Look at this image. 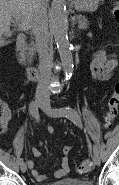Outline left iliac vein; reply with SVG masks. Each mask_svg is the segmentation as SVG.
Instances as JSON below:
<instances>
[{"label":"left iliac vein","instance_id":"obj_1","mask_svg":"<svg viewBox=\"0 0 119 185\" xmlns=\"http://www.w3.org/2000/svg\"><path fill=\"white\" fill-rule=\"evenodd\" d=\"M42 109L45 112V114L47 116L51 117V118L60 117V115L58 114L57 110L51 108L50 102H46L45 105L42 107ZM92 160H93L95 165H99L100 164V156H99V154L98 153H93Z\"/></svg>","mask_w":119,"mask_h":185}]
</instances>
